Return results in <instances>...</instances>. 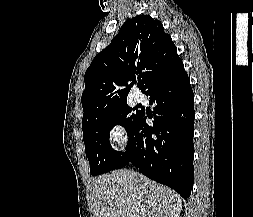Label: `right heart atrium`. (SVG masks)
<instances>
[{
  "mask_svg": "<svg viewBox=\"0 0 253 217\" xmlns=\"http://www.w3.org/2000/svg\"><path fill=\"white\" fill-rule=\"evenodd\" d=\"M108 137L116 147H121L126 141L123 125L119 122H113L108 128Z\"/></svg>",
  "mask_w": 253,
  "mask_h": 217,
  "instance_id": "right-heart-atrium-1",
  "label": "right heart atrium"
}]
</instances>
